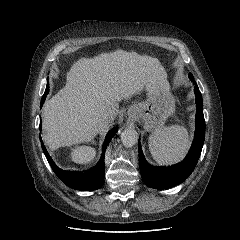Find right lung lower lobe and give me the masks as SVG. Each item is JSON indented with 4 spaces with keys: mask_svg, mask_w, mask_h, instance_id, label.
Masks as SVG:
<instances>
[{
    "mask_svg": "<svg viewBox=\"0 0 240 240\" xmlns=\"http://www.w3.org/2000/svg\"><path fill=\"white\" fill-rule=\"evenodd\" d=\"M46 96H43L41 99V106L45 101ZM40 130H41V124H40ZM117 132V128H113L110 130L105 138L103 148H102V155L99 160V162L90 169L87 173H78L73 171H64L56 166V164L53 162L52 158L49 156L40 136L41 146L43 149V152L52 168L54 173L60 178V180L69 186L70 188L77 189V190H83V191H91L96 190L102 187L104 183V157H105V150L108 146L110 140Z\"/></svg>",
    "mask_w": 240,
    "mask_h": 240,
    "instance_id": "98d812e1",
    "label": "right lung lower lobe"
}]
</instances>
